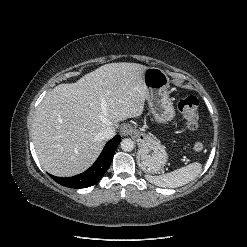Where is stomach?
<instances>
[{"instance_id": "stomach-1", "label": "stomach", "mask_w": 247, "mask_h": 247, "mask_svg": "<svg viewBox=\"0 0 247 247\" xmlns=\"http://www.w3.org/2000/svg\"><path fill=\"white\" fill-rule=\"evenodd\" d=\"M147 89V102L157 123H166L175 117V109L169 97L168 74L156 67H147L143 73ZM139 146L138 163L149 174L159 173L168 161L166 148L150 136L137 131Z\"/></svg>"}]
</instances>
